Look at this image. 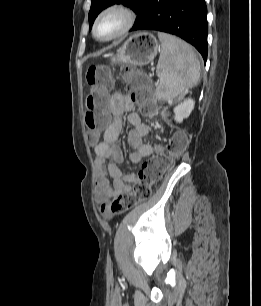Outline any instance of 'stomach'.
Returning <instances> with one entry per match:
<instances>
[{"label": "stomach", "instance_id": "1", "mask_svg": "<svg viewBox=\"0 0 261 306\" xmlns=\"http://www.w3.org/2000/svg\"><path fill=\"white\" fill-rule=\"evenodd\" d=\"M159 44L153 34L139 32L127 39L117 54L111 57V64L144 66L154 60Z\"/></svg>", "mask_w": 261, "mask_h": 306}]
</instances>
